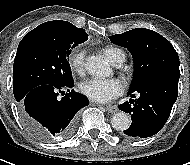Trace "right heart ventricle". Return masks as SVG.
<instances>
[{
	"label": "right heart ventricle",
	"mask_w": 190,
	"mask_h": 165,
	"mask_svg": "<svg viewBox=\"0 0 190 165\" xmlns=\"http://www.w3.org/2000/svg\"><path fill=\"white\" fill-rule=\"evenodd\" d=\"M103 53L114 65H120L125 60V53L118 47L107 46L103 49Z\"/></svg>",
	"instance_id": "e07e8e85"
}]
</instances>
